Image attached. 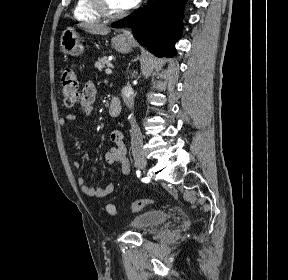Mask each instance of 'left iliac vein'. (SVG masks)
I'll use <instances>...</instances> for the list:
<instances>
[{
    "label": "left iliac vein",
    "mask_w": 288,
    "mask_h": 280,
    "mask_svg": "<svg viewBox=\"0 0 288 280\" xmlns=\"http://www.w3.org/2000/svg\"><path fill=\"white\" fill-rule=\"evenodd\" d=\"M138 164H139V167H140L141 169H145V167H146V160H145V159H139V160H138Z\"/></svg>",
    "instance_id": "left-iliac-vein-1"
}]
</instances>
